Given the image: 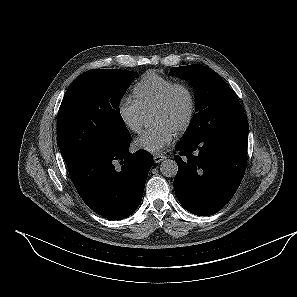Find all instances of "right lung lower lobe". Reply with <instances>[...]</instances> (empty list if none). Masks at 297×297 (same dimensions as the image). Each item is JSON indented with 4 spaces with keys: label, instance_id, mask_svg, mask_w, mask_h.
<instances>
[{
    "label": "right lung lower lobe",
    "instance_id": "right-lung-lower-lobe-1",
    "mask_svg": "<svg viewBox=\"0 0 297 297\" xmlns=\"http://www.w3.org/2000/svg\"><path fill=\"white\" fill-rule=\"evenodd\" d=\"M131 138L119 146L91 149L68 166L80 197L96 213L121 220L139 206L153 158L145 150L128 152Z\"/></svg>",
    "mask_w": 297,
    "mask_h": 297
}]
</instances>
